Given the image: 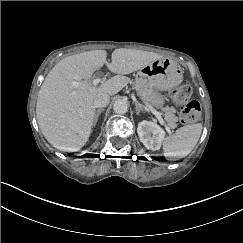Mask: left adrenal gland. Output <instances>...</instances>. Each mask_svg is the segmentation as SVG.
I'll return each mask as SVG.
<instances>
[{"label": "left adrenal gland", "mask_w": 243, "mask_h": 243, "mask_svg": "<svg viewBox=\"0 0 243 243\" xmlns=\"http://www.w3.org/2000/svg\"><path fill=\"white\" fill-rule=\"evenodd\" d=\"M135 110H136V115L139 117L140 116V112L141 111H143L140 107H139V105H137V104H135Z\"/></svg>", "instance_id": "1"}]
</instances>
